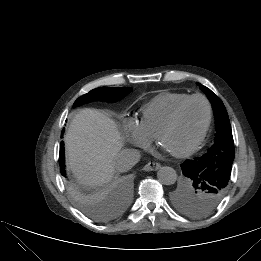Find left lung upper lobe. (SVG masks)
Wrapping results in <instances>:
<instances>
[{"label":"left lung upper lobe","mask_w":261,"mask_h":261,"mask_svg":"<svg viewBox=\"0 0 261 261\" xmlns=\"http://www.w3.org/2000/svg\"><path fill=\"white\" fill-rule=\"evenodd\" d=\"M210 100L215 116V141L208 152L194 161L202 174L184 183L173 194V202L183 213L205 216L224 198L234 160V143L229 117L222 101L207 87L197 83Z\"/></svg>","instance_id":"1"}]
</instances>
